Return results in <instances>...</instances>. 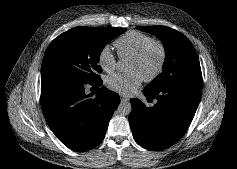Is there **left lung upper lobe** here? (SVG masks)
<instances>
[{
	"label": "left lung upper lobe",
	"instance_id": "left-lung-upper-lobe-1",
	"mask_svg": "<svg viewBox=\"0 0 237 169\" xmlns=\"http://www.w3.org/2000/svg\"><path fill=\"white\" fill-rule=\"evenodd\" d=\"M138 29L156 35L165 47L162 73L150 82L145 90L156 91L182 83H202L198 55L185 35L165 26L138 27Z\"/></svg>",
	"mask_w": 237,
	"mask_h": 169
}]
</instances>
